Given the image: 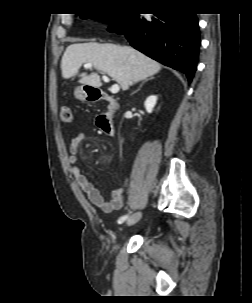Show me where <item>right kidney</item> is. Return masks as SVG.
Returning a JSON list of instances; mask_svg holds the SVG:
<instances>
[{
    "label": "right kidney",
    "instance_id": "ca27d5eb",
    "mask_svg": "<svg viewBox=\"0 0 252 303\" xmlns=\"http://www.w3.org/2000/svg\"><path fill=\"white\" fill-rule=\"evenodd\" d=\"M156 101H157V96L155 95H151L145 100L144 106L148 113H152L153 108L156 105Z\"/></svg>",
    "mask_w": 252,
    "mask_h": 303
}]
</instances>
